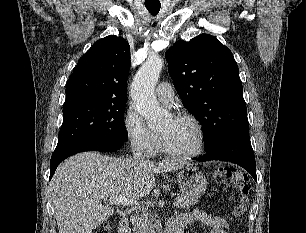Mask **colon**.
Listing matches in <instances>:
<instances>
[{"label":"colon","mask_w":306,"mask_h":233,"mask_svg":"<svg viewBox=\"0 0 306 233\" xmlns=\"http://www.w3.org/2000/svg\"><path fill=\"white\" fill-rule=\"evenodd\" d=\"M214 177L220 184L228 185L234 183L239 189L240 198L234 206L233 215L236 218L243 217L246 214L249 206L247 194L250 189V182L248 176L236 168L219 167L216 170ZM94 233H110L109 223H103L102 226L97 228Z\"/></svg>","instance_id":"obj_1"}]
</instances>
